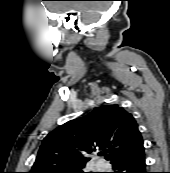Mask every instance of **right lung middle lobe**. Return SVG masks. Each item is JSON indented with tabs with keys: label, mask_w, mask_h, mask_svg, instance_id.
<instances>
[{
	"label": "right lung middle lobe",
	"mask_w": 170,
	"mask_h": 173,
	"mask_svg": "<svg viewBox=\"0 0 170 173\" xmlns=\"http://www.w3.org/2000/svg\"><path fill=\"white\" fill-rule=\"evenodd\" d=\"M72 173H84L83 169L78 171H73Z\"/></svg>",
	"instance_id": "obj_1"
}]
</instances>
